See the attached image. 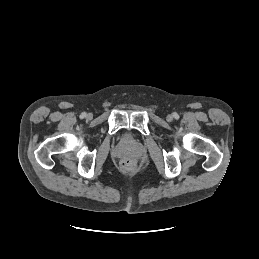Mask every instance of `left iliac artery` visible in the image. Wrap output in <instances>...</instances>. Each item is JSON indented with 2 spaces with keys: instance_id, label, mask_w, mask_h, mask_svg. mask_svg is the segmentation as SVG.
I'll use <instances>...</instances> for the list:
<instances>
[{
  "instance_id": "obj_1",
  "label": "left iliac artery",
  "mask_w": 259,
  "mask_h": 259,
  "mask_svg": "<svg viewBox=\"0 0 259 259\" xmlns=\"http://www.w3.org/2000/svg\"><path fill=\"white\" fill-rule=\"evenodd\" d=\"M173 117H174L175 119H178V118H179V115H178L177 113H173Z\"/></svg>"
}]
</instances>
